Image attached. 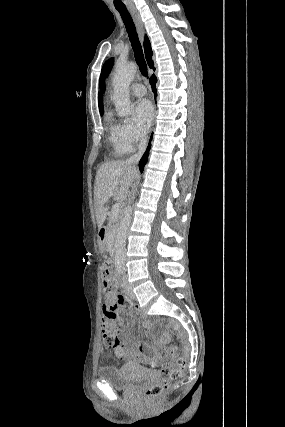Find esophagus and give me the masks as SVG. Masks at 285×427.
Returning a JSON list of instances; mask_svg holds the SVG:
<instances>
[{
  "label": "esophagus",
  "instance_id": "34e87169",
  "mask_svg": "<svg viewBox=\"0 0 285 427\" xmlns=\"http://www.w3.org/2000/svg\"><path fill=\"white\" fill-rule=\"evenodd\" d=\"M128 10H129V12H130V14L134 20L135 25H136L140 41L143 43L145 29H144V23L140 17V14L138 13V11L136 10V8L134 6H129Z\"/></svg>",
  "mask_w": 285,
  "mask_h": 427
}]
</instances>
